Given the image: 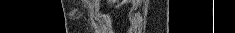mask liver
Masks as SVG:
<instances>
[{
  "mask_svg": "<svg viewBox=\"0 0 235 33\" xmlns=\"http://www.w3.org/2000/svg\"><path fill=\"white\" fill-rule=\"evenodd\" d=\"M107 2H108V4L111 5V4H113L115 2V0H108Z\"/></svg>",
  "mask_w": 235,
  "mask_h": 33,
  "instance_id": "1",
  "label": "liver"
}]
</instances>
